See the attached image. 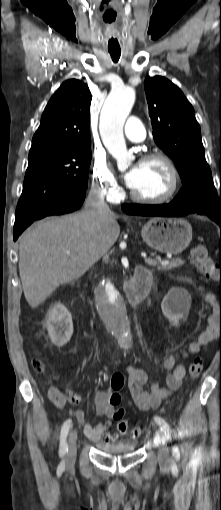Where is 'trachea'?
<instances>
[{
  "label": "trachea",
  "mask_w": 221,
  "mask_h": 510,
  "mask_svg": "<svg viewBox=\"0 0 221 510\" xmlns=\"http://www.w3.org/2000/svg\"><path fill=\"white\" fill-rule=\"evenodd\" d=\"M110 55H111V58L114 62H118L119 58H120V55H121V52H116V51H109Z\"/></svg>",
  "instance_id": "obj_1"
}]
</instances>
